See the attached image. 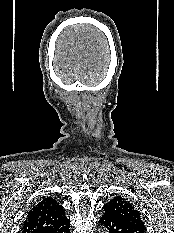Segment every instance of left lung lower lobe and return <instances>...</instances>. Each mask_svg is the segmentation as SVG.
Instances as JSON below:
<instances>
[{"mask_svg":"<svg viewBox=\"0 0 174 233\" xmlns=\"http://www.w3.org/2000/svg\"><path fill=\"white\" fill-rule=\"evenodd\" d=\"M100 223L108 233H146L147 231L144 225L116 218L105 211L100 218Z\"/></svg>","mask_w":174,"mask_h":233,"instance_id":"obj_1","label":"left lung lower lobe"}]
</instances>
